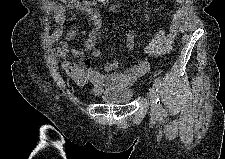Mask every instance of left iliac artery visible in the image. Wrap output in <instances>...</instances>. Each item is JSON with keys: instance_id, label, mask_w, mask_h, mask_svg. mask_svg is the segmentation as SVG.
Wrapping results in <instances>:
<instances>
[{"instance_id": "1", "label": "left iliac artery", "mask_w": 225, "mask_h": 159, "mask_svg": "<svg viewBox=\"0 0 225 159\" xmlns=\"http://www.w3.org/2000/svg\"><path fill=\"white\" fill-rule=\"evenodd\" d=\"M154 86L156 87V91H157L158 93H160V92H161L162 82H161V80H160L159 78H157V79L155 80ZM158 100H159V98H158ZM159 104H160V103H159ZM159 110H160L162 113L165 112V110L162 108V106H160ZM163 115H164V114H163Z\"/></svg>"}]
</instances>
